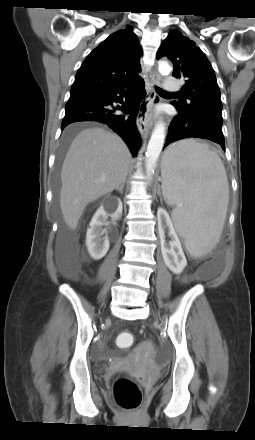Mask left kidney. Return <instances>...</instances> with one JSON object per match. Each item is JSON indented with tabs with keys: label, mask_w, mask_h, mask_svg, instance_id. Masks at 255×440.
<instances>
[{
	"label": "left kidney",
	"mask_w": 255,
	"mask_h": 440,
	"mask_svg": "<svg viewBox=\"0 0 255 440\" xmlns=\"http://www.w3.org/2000/svg\"><path fill=\"white\" fill-rule=\"evenodd\" d=\"M158 225H159V235L161 240V252L163 260L166 266L175 274H179L187 265V260L184 255L181 243L179 241L178 235L175 232L173 223L163 208H159L157 212ZM168 228V235L171 238L169 243L165 241L164 229Z\"/></svg>",
	"instance_id": "obj_1"
}]
</instances>
